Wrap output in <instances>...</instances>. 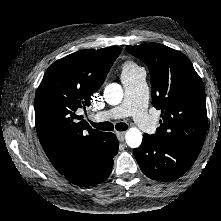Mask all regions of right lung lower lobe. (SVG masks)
Wrapping results in <instances>:
<instances>
[{
    "mask_svg": "<svg viewBox=\"0 0 221 221\" xmlns=\"http://www.w3.org/2000/svg\"><path fill=\"white\" fill-rule=\"evenodd\" d=\"M118 147L119 142L115 134L105 132L102 136L99 158L76 165L61 174L71 183L81 187L97 185L109 177L113 166V158L118 152Z\"/></svg>",
    "mask_w": 221,
    "mask_h": 221,
    "instance_id": "right-lung-lower-lobe-1",
    "label": "right lung lower lobe"
}]
</instances>
